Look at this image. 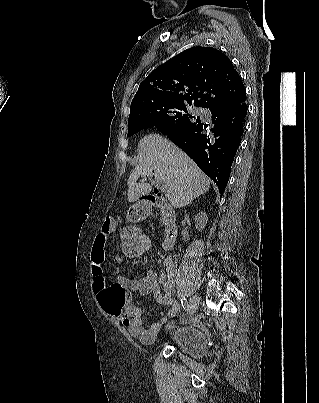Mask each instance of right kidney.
<instances>
[{"label":"right kidney","mask_w":319,"mask_h":403,"mask_svg":"<svg viewBox=\"0 0 319 403\" xmlns=\"http://www.w3.org/2000/svg\"><path fill=\"white\" fill-rule=\"evenodd\" d=\"M194 220H195L196 228L199 231H202L205 228V226H206V224L208 222V216H207V214L205 212H200L199 214H197L195 216Z\"/></svg>","instance_id":"obj_1"}]
</instances>
